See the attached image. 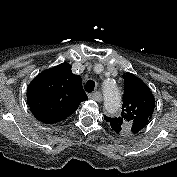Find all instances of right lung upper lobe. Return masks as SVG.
<instances>
[{
	"label": "right lung upper lobe",
	"instance_id": "right-lung-upper-lobe-1",
	"mask_svg": "<svg viewBox=\"0 0 177 177\" xmlns=\"http://www.w3.org/2000/svg\"><path fill=\"white\" fill-rule=\"evenodd\" d=\"M87 99L82 80L62 63L41 72L27 88V101L36 119L52 124L73 114Z\"/></svg>",
	"mask_w": 177,
	"mask_h": 177
}]
</instances>
